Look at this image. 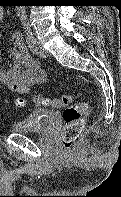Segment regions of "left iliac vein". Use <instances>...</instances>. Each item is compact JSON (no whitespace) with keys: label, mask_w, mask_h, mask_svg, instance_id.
I'll return each instance as SVG.
<instances>
[{"label":"left iliac vein","mask_w":121,"mask_h":197,"mask_svg":"<svg viewBox=\"0 0 121 197\" xmlns=\"http://www.w3.org/2000/svg\"><path fill=\"white\" fill-rule=\"evenodd\" d=\"M34 50L36 54L41 58H46L48 56V52L42 47V45L37 40Z\"/></svg>","instance_id":"1"}]
</instances>
